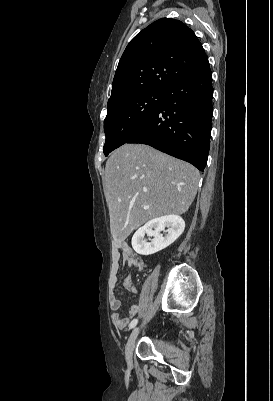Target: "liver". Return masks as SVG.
<instances>
[{
	"label": "liver",
	"instance_id": "6515ba94",
	"mask_svg": "<svg viewBox=\"0 0 273 401\" xmlns=\"http://www.w3.org/2000/svg\"><path fill=\"white\" fill-rule=\"evenodd\" d=\"M199 178L195 166L148 144L116 148L106 162L103 178L113 241L122 243L150 219L186 213Z\"/></svg>",
	"mask_w": 273,
	"mask_h": 401
}]
</instances>
